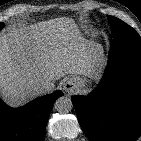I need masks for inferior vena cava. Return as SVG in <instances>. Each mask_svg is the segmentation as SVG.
Returning <instances> with one entry per match:
<instances>
[{"mask_svg":"<svg viewBox=\"0 0 141 141\" xmlns=\"http://www.w3.org/2000/svg\"><path fill=\"white\" fill-rule=\"evenodd\" d=\"M54 87H55V85H54V83L51 80H49V79H42L41 81H39L35 85L34 90L39 95H42V94H46V93L51 92L54 89Z\"/></svg>","mask_w":141,"mask_h":141,"instance_id":"1","label":"inferior vena cava"}]
</instances>
